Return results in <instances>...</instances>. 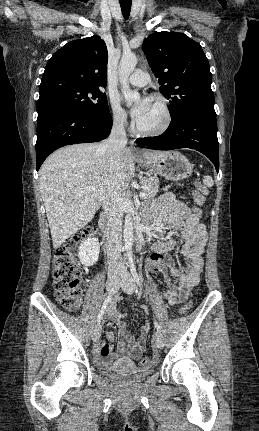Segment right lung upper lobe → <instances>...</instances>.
Segmentation results:
<instances>
[{
  "label": "right lung upper lobe",
  "mask_w": 259,
  "mask_h": 431,
  "mask_svg": "<svg viewBox=\"0 0 259 431\" xmlns=\"http://www.w3.org/2000/svg\"><path fill=\"white\" fill-rule=\"evenodd\" d=\"M107 60V47L99 36L71 41L49 59L40 88L51 82H65L81 87H106Z\"/></svg>",
  "instance_id": "1"
}]
</instances>
